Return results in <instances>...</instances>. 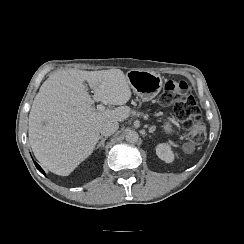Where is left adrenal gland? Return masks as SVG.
Instances as JSON below:
<instances>
[{"mask_svg": "<svg viewBox=\"0 0 244 244\" xmlns=\"http://www.w3.org/2000/svg\"><path fill=\"white\" fill-rule=\"evenodd\" d=\"M152 132H153V130L151 128H149V133H152Z\"/></svg>", "mask_w": 244, "mask_h": 244, "instance_id": "a2214340", "label": "left adrenal gland"}]
</instances>
